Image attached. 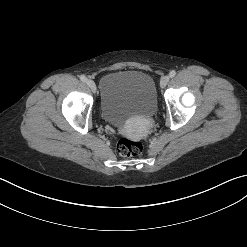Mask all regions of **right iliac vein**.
Here are the masks:
<instances>
[{
	"label": "right iliac vein",
	"mask_w": 247,
	"mask_h": 247,
	"mask_svg": "<svg viewBox=\"0 0 247 247\" xmlns=\"http://www.w3.org/2000/svg\"><path fill=\"white\" fill-rule=\"evenodd\" d=\"M87 85L89 86V88H90L93 92L96 91V84H95V82H94L93 80L88 79V80H87Z\"/></svg>",
	"instance_id": "obj_1"
}]
</instances>
